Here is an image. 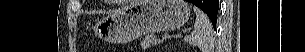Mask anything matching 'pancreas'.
<instances>
[{
	"instance_id": "pancreas-1",
	"label": "pancreas",
	"mask_w": 305,
	"mask_h": 52,
	"mask_svg": "<svg viewBox=\"0 0 305 52\" xmlns=\"http://www.w3.org/2000/svg\"><path fill=\"white\" fill-rule=\"evenodd\" d=\"M141 47L143 49L149 48L150 45H158L161 43V40L154 34L147 35L144 38L140 39Z\"/></svg>"
}]
</instances>
